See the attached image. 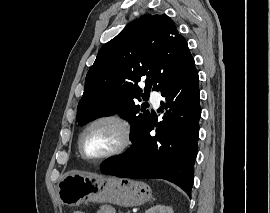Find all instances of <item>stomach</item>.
<instances>
[{
    "label": "stomach",
    "mask_w": 270,
    "mask_h": 213,
    "mask_svg": "<svg viewBox=\"0 0 270 213\" xmlns=\"http://www.w3.org/2000/svg\"><path fill=\"white\" fill-rule=\"evenodd\" d=\"M57 188L61 203L69 207L85 202L132 207L144 204L152 198L151 188L144 182L78 171L64 174Z\"/></svg>",
    "instance_id": "stomach-1"
}]
</instances>
